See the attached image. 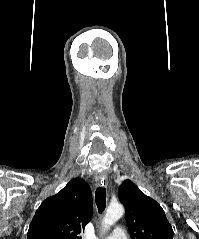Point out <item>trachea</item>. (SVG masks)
<instances>
[{
    "label": "trachea",
    "instance_id": "3493384b",
    "mask_svg": "<svg viewBox=\"0 0 199 239\" xmlns=\"http://www.w3.org/2000/svg\"><path fill=\"white\" fill-rule=\"evenodd\" d=\"M95 202L98 208L99 213L105 209L106 206V189L99 187L95 192Z\"/></svg>",
    "mask_w": 199,
    "mask_h": 239
}]
</instances>
